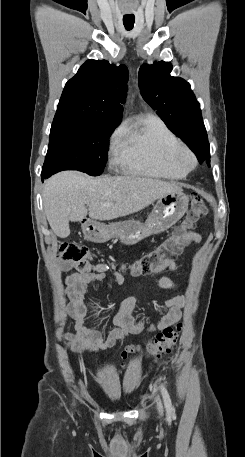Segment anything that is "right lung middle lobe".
<instances>
[{
    "label": "right lung middle lobe",
    "instance_id": "dd1d6c3e",
    "mask_svg": "<svg viewBox=\"0 0 245 457\" xmlns=\"http://www.w3.org/2000/svg\"><path fill=\"white\" fill-rule=\"evenodd\" d=\"M119 123L89 116L56 114L42 168V180L67 169L100 175L107 160L108 138Z\"/></svg>",
    "mask_w": 245,
    "mask_h": 457
}]
</instances>
